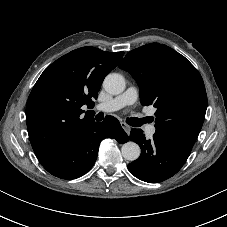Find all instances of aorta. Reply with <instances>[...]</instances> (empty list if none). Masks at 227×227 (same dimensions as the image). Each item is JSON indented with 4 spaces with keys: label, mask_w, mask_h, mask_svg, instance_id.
Listing matches in <instances>:
<instances>
[{
    "label": "aorta",
    "mask_w": 227,
    "mask_h": 227,
    "mask_svg": "<svg viewBox=\"0 0 227 227\" xmlns=\"http://www.w3.org/2000/svg\"><path fill=\"white\" fill-rule=\"evenodd\" d=\"M103 87L109 94H121L125 89V79L118 73H111L104 79ZM121 153L126 160L135 161L139 158L141 149L138 144L129 141L122 145Z\"/></svg>",
    "instance_id": "aorta-1"
}]
</instances>
